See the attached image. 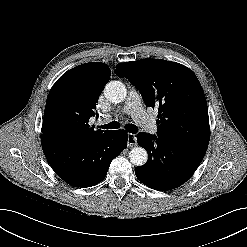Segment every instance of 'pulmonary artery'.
I'll list each match as a JSON object with an SVG mask.
<instances>
[{
  "mask_svg": "<svg viewBox=\"0 0 247 247\" xmlns=\"http://www.w3.org/2000/svg\"><path fill=\"white\" fill-rule=\"evenodd\" d=\"M122 112L130 114L147 133L152 135L157 133V126L153 119L145 112L141 97L136 90L132 89L129 92Z\"/></svg>",
  "mask_w": 247,
  "mask_h": 247,
  "instance_id": "pulmonary-artery-1",
  "label": "pulmonary artery"
}]
</instances>
